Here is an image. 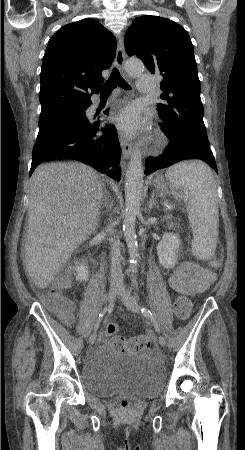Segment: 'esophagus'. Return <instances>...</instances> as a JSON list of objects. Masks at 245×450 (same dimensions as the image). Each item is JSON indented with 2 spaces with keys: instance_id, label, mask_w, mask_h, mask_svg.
<instances>
[{
  "instance_id": "esophagus-1",
  "label": "esophagus",
  "mask_w": 245,
  "mask_h": 450,
  "mask_svg": "<svg viewBox=\"0 0 245 450\" xmlns=\"http://www.w3.org/2000/svg\"><path fill=\"white\" fill-rule=\"evenodd\" d=\"M125 57H126V53H125L123 41L120 38L119 42H118V46H117V51H116L115 65L121 71L123 70ZM120 146H121V149H122L123 157L125 159H128L130 154H131V151H132L131 143L124 136H121L120 137Z\"/></svg>"
}]
</instances>
